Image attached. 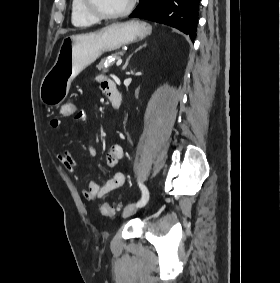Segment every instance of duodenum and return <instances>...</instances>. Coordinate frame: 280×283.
I'll use <instances>...</instances> for the list:
<instances>
[{
  "label": "duodenum",
  "mask_w": 280,
  "mask_h": 283,
  "mask_svg": "<svg viewBox=\"0 0 280 283\" xmlns=\"http://www.w3.org/2000/svg\"><path fill=\"white\" fill-rule=\"evenodd\" d=\"M106 95L114 109H118L121 105V92L117 88L116 84L113 81H109L107 84Z\"/></svg>",
  "instance_id": "410a0bca"
}]
</instances>
